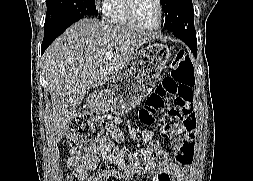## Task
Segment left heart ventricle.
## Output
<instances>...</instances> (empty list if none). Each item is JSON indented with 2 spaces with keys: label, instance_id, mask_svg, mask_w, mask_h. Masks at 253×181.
<instances>
[{
  "label": "left heart ventricle",
  "instance_id": "b2bd125f",
  "mask_svg": "<svg viewBox=\"0 0 253 181\" xmlns=\"http://www.w3.org/2000/svg\"><path fill=\"white\" fill-rule=\"evenodd\" d=\"M135 15L144 25L156 24L159 15L157 0H135Z\"/></svg>",
  "mask_w": 253,
  "mask_h": 181
}]
</instances>
